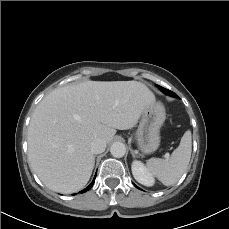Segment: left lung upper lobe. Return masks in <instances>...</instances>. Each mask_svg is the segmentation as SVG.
Listing matches in <instances>:
<instances>
[{"instance_id":"1","label":"left lung upper lobe","mask_w":229,"mask_h":229,"mask_svg":"<svg viewBox=\"0 0 229 229\" xmlns=\"http://www.w3.org/2000/svg\"><path fill=\"white\" fill-rule=\"evenodd\" d=\"M158 88H159L162 92H164L165 94H169V95L171 94L169 90H167V89H165V88H163V87H161V86H159V85H158Z\"/></svg>"}]
</instances>
